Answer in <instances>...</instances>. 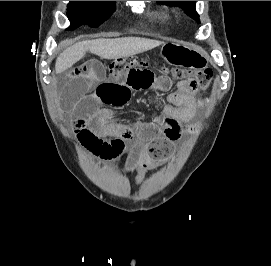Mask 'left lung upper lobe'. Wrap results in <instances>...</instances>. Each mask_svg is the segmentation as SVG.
<instances>
[{"instance_id":"1","label":"left lung upper lobe","mask_w":271,"mask_h":266,"mask_svg":"<svg viewBox=\"0 0 271 266\" xmlns=\"http://www.w3.org/2000/svg\"><path fill=\"white\" fill-rule=\"evenodd\" d=\"M162 3L181 7L187 15L200 23L199 15L195 10L196 1H162Z\"/></svg>"}]
</instances>
